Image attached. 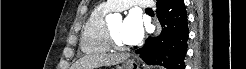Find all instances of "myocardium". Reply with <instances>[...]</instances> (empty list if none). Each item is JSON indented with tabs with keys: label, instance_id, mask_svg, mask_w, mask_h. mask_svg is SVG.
Listing matches in <instances>:
<instances>
[{
	"label": "myocardium",
	"instance_id": "myocardium-1",
	"mask_svg": "<svg viewBox=\"0 0 246 69\" xmlns=\"http://www.w3.org/2000/svg\"><path fill=\"white\" fill-rule=\"evenodd\" d=\"M107 36H108V40L109 43L111 44V46L115 47V48H124L126 47V45L121 44L113 35L110 26L108 27L107 30Z\"/></svg>",
	"mask_w": 246,
	"mask_h": 69
}]
</instances>
